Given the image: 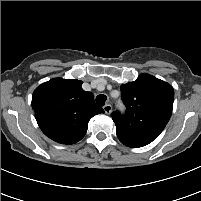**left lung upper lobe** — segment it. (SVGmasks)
Instances as JSON below:
<instances>
[{
  "label": "left lung upper lobe",
  "mask_w": 201,
  "mask_h": 201,
  "mask_svg": "<svg viewBox=\"0 0 201 201\" xmlns=\"http://www.w3.org/2000/svg\"><path fill=\"white\" fill-rule=\"evenodd\" d=\"M126 114L111 116L117 135L152 142L168 123L173 109L174 90L168 83L146 73L136 81L121 85Z\"/></svg>",
  "instance_id": "1"
}]
</instances>
